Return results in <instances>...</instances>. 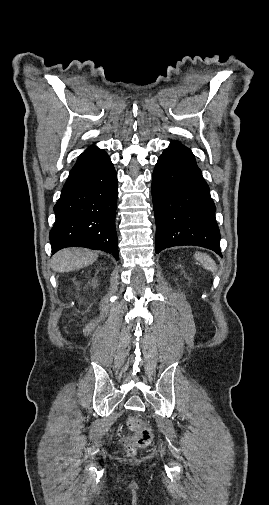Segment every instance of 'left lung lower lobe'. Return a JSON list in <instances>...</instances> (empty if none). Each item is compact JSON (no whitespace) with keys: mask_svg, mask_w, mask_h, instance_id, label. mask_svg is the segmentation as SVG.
<instances>
[{"mask_svg":"<svg viewBox=\"0 0 269 505\" xmlns=\"http://www.w3.org/2000/svg\"><path fill=\"white\" fill-rule=\"evenodd\" d=\"M152 199L156 253L183 245L213 250L222 256L215 205L191 150L171 142L155 166Z\"/></svg>","mask_w":269,"mask_h":505,"instance_id":"1","label":"left lung lower lobe"}]
</instances>
